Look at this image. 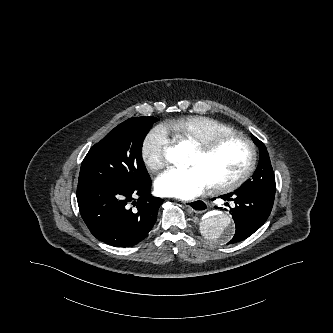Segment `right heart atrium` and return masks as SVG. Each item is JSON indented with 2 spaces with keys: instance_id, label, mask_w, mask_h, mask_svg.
Segmentation results:
<instances>
[{
  "instance_id": "obj_1",
  "label": "right heart atrium",
  "mask_w": 333,
  "mask_h": 333,
  "mask_svg": "<svg viewBox=\"0 0 333 333\" xmlns=\"http://www.w3.org/2000/svg\"><path fill=\"white\" fill-rule=\"evenodd\" d=\"M167 146V132L163 127H155L145 136L141 144V159L147 169L158 171L166 165Z\"/></svg>"
}]
</instances>
